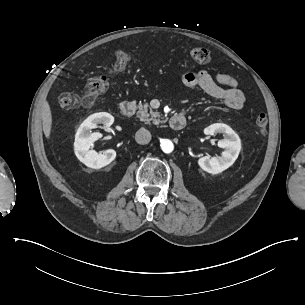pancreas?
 Instances as JSON below:
<instances>
[{"label": "pancreas", "mask_w": 305, "mask_h": 305, "mask_svg": "<svg viewBox=\"0 0 305 305\" xmlns=\"http://www.w3.org/2000/svg\"><path fill=\"white\" fill-rule=\"evenodd\" d=\"M149 104L146 103L145 105L139 103V105L136 107L138 109V112L136 113L137 117L140 118V121L144 123H148L149 121H153L152 123L155 125H158L162 123L160 119H155L157 117H160L159 113L153 112L152 110L148 111Z\"/></svg>", "instance_id": "1"}]
</instances>
